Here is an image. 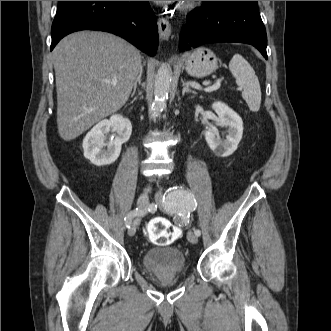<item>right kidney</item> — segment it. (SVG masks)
Listing matches in <instances>:
<instances>
[{"label":"right kidney","mask_w":331,"mask_h":331,"mask_svg":"<svg viewBox=\"0 0 331 331\" xmlns=\"http://www.w3.org/2000/svg\"><path fill=\"white\" fill-rule=\"evenodd\" d=\"M111 128L117 132L111 141H105V134ZM132 133V125L129 119L121 115H113L109 120L104 119L96 124L83 139L84 156L96 166L110 165L120 155L121 146L127 142ZM107 147L106 149H104Z\"/></svg>","instance_id":"ca27d5eb"}]
</instances>
